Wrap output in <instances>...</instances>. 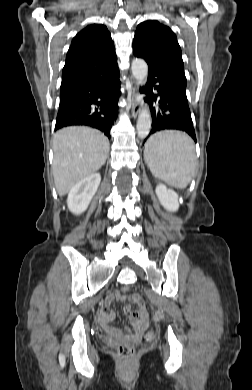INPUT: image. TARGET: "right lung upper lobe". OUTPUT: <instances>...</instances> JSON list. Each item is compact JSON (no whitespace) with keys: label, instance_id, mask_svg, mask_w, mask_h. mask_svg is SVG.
Listing matches in <instances>:
<instances>
[{"label":"right lung upper lobe","instance_id":"cb5924a9","mask_svg":"<svg viewBox=\"0 0 252 390\" xmlns=\"http://www.w3.org/2000/svg\"><path fill=\"white\" fill-rule=\"evenodd\" d=\"M116 66L114 43L106 26L88 25L73 38L67 52L60 97L102 79Z\"/></svg>","mask_w":252,"mask_h":390}]
</instances>
